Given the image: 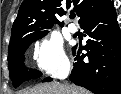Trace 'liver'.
Listing matches in <instances>:
<instances>
[{"mask_svg":"<svg viewBox=\"0 0 121 94\" xmlns=\"http://www.w3.org/2000/svg\"><path fill=\"white\" fill-rule=\"evenodd\" d=\"M19 94H90V92L79 86L51 82L22 90Z\"/></svg>","mask_w":121,"mask_h":94,"instance_id":"liver-1","label":"liver"}]
</instances>
